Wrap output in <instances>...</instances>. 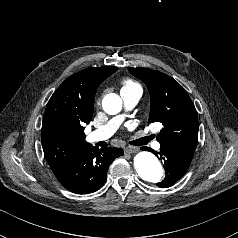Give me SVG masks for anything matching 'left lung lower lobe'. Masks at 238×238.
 <instances>
[{
	"instance_id": "left-lung-lower-lobe-1",
	"label": "left lung lower lobe",
	"mask_w": 238,
	"mask_h": 238,
	"mask_svg": "<svg viewBox=\"0 0 238 238\" xmlns=\"http://www.w3.org/2000/svg\"><path fill=\"white\" fill-rule=\"evenodd\" d=\"M194 152L193 148L161 144L159 155L164 162L166 176L157 186L168 188L174 185L187 172Z\"/></svg>"
}]
</instances>
